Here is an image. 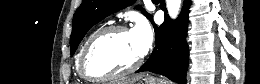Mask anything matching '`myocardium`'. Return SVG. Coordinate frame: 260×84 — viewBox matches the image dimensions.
Here are the masks:
<instances>
[{"label":"myocardium","instance_id":"f54148a6","mask_svg":"<svg viewBox=\"0 0 260 84\" xmlns=\"http://www.w3.org/2000/svg\"><path fill=\"white\" fill-rule=\"evenodd\" d=\"M111 33H130V31L126 26L119 25V24L108 25L97 30L86 43L80 57L79 71L82 78L88 81H95V82H103V81L118 79L136 71L142 65L144 61V55H141L136 60V62L132 64L130 67L118 72L107 73V74H96L90 69L89 58L93 51V48L102 37Z\"/></svg>","mask_w":260,"mask_h":84}]
</instances>
